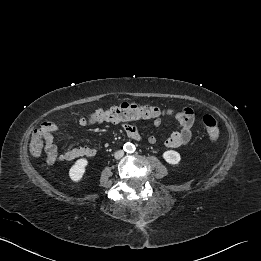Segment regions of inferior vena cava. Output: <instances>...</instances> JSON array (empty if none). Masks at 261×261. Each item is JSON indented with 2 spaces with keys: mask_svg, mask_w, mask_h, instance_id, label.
Wrapping results in <instances>:
<instances>
[{
  "mask_svg": "<svg viewBox=\"0 0 261 261\" xmlns=\"http://www.w3.org/2000/svg\"><path fill=\"white\" fill-rule=\"evenodd\" d=\"M123 156H124V151L123 150H118L114 154L115 159H121Z\"/></svg>",
  "mask_w": 261,
  "mask_h": 261,
  "instance_id": "602c4592",
  "label": "inferior vena cava"
}]
</instances>
